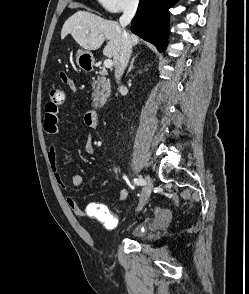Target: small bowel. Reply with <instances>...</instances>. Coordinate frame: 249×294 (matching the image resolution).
<instances>
[{"label":"small bowel","instance_id":"obj_1","mask_svg":"<svg viewBox=\"0 0 249 294\" xmlns=\"http://www.w3.org/2000/svg\"><path fill=\"white\" fill-rule=\"evenodd\" d=\"M60 78L64 84L72 91H76L77 87L72 78L67 76L65 73H60ZM59 122V106H53L51 104L46 105L43 129L48 134L50 139V148H49V161L52 168V173L56 184L63 190L67 189V183L63 178L59 166H58V149H59V133L60 127ZM84 125L88 129L95 128V124L90 120L88 113L84 115L83 118ZM85 152L87 154H94L96 151L95 145L93 144L90 137L87 138L84 146ZM71 183L76 188H81L84 185V181L81 175L75 173L71 176ZM106 184L103 185L105 187ZM128 197V191L124 188L118 190L116 195L117 202H124ZM66 203L69 209L79 217L83 218H93L98 220L104 228L112 230L117 227L118 216L112 213L106 205L99 203L97 201H89L85 208H82L72 197L68 196L66 198ZM163 210L160 209L157 212V219L163 214Z\"/></svg>","mask_w":249,"mask_h":294}]
</instances>
